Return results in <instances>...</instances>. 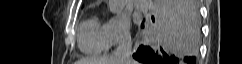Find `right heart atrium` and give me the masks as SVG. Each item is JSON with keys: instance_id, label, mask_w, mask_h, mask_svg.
Instances as JSON below:
<instances>
[{"instance_id": "right-heart-atrium-1", "label": "right heart atrium", "mask_w": 242, "mask_h": 64, "mask_svg": "<svg viewBox=\"0 0 242 64\" xmlns=\"http://www.w3.org/2000/svg\"><path fill=\"white\" fill-rule=\"evenodd\" d=\"M109 46H118L130 42V22L123 15L110 17L104 24Z\"/></svg>"}]
</instances>
